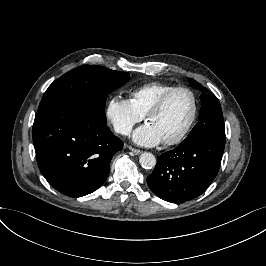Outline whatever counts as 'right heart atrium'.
<instances>
[{
	"label": "right heart atrium",
	"instance_id": "d8ad5b80",
	"mask_svg": "<svg viewBox=\"0 0 266 266\" xmlns=\"http://www.w3.org/2000/svg\"><path fill=\"white\" fill-rule=\"evenodd\" d=\"M105 115L114 130L121 135L129 134L143 119V115L136 110L130 99L118 95L108 98Z\"/></svg>",
	"mask_w": 266,
	"mask_h": 266
}]
</instances>
